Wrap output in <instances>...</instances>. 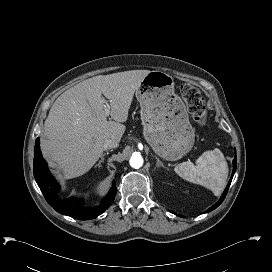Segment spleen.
<instances>
[{"label": "spleen", "instance_id": "spleen-1", "mask_svg": "<svg viewBox=\"0 0 272 272\" xmlns=\"http://www.w3.org/2000/svg\"><path fill=\"white\" fill-rule=\"evenodd\" d=\"M174 171L184 180L202 185L218 196L226 185L228 165L222 152L215 148L204 152L196 160V164L183 162Z\"/></svg>", "mask_w": 272, "mask_h": 272}]
</instances>
